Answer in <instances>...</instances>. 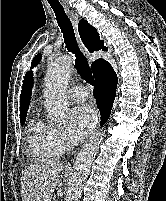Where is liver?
Listing matches in <instances>:
<instances>
[{
    "instance_id": "6515ba94",
    "label": "liver",
    "mask_w": 166,
    "mask_h": 201,
    "mask_svg": "<svg viewBox=\"0 0 166 201\" xmlns=\"http://www.w3.org/2000/svg\"><path fill=\"white\" fill-rule=\"evenodd\" d=\"M63 171V162L42 161L22 171V201H51Z\"/></svg>"
}]
</instances>
